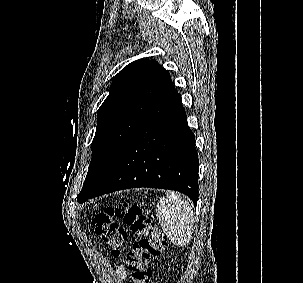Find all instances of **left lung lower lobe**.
<instances>
[{"mask_svg": "<svg viewBox=\"0 0 303 283\" xmlns=\"http://www.w3.org/2000/svg\"><path fill=\"white\" fill-rule=\"evenodd\" d=\"M198 165L195 137L169 75L109 177L77 200L83 203L117 190L152 187L182 192L196 205Z\"/></svg>", "mask_w": 303, "mask_h": 283, "instance_id": "obj_1", "label": "left lung lower lobe"}]
</instances>
